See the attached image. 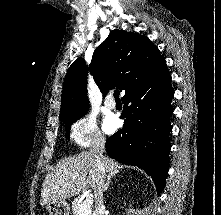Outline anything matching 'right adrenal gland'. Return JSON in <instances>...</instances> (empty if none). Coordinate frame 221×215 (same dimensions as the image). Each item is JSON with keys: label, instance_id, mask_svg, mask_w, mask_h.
<instances>
[{"label": "right adrenal gland", "instance_id": "2a0ac1e0", "mask_svg": "<svg viewBox=\"0 0 221 215\" xmlns=\"http://www.w3.org/2000/svg\"><path fill=\"white\" fill-rule=\"evenodd\" d=\"M112 177H113V175H109V176L107 177V182H106V184H105L104 191H106V190L109 188V185H110V183H111Z\"/></svg>", "mask_w": 221, "mask_h": 215}]
</instances>
